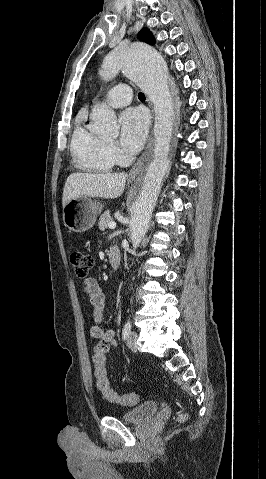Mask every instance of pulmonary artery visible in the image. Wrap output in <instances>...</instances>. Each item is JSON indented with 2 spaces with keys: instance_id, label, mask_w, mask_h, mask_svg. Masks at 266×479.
Instances as JSON below:
<instances>
[{
  "instance_id": "pulmonary-artery-1",
  "label": "pulmonary artery",
  "mask_w": 266,
  "mask_h": 479,
  "mask_svg": "<svg viewBox=\"0 0 266 479\" xmlns=\"http://www.w3.org/2000/svg\"><path fill=\"white\" fill-rule=\"evenodd\" d=\"M132 98V89L126 84H118L112 87L104 99L111 107L119 108L128 105Z\"/></svg>"
}]
</instances>
